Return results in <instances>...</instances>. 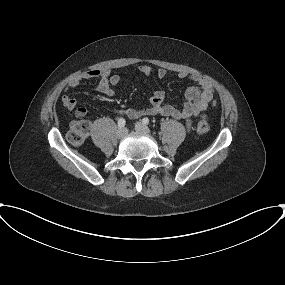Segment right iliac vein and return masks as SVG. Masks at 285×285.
I'll use <instances>...</instances> for the list:
<instances>
[{
	"instance_id": "obj_1",
	"label": "right iliac vein",
	"mask_w": 285,
	"mask_h": 285,
	"mask_svg": "<svg viewBox=\"0 0 285 285\" xmlns=\"http://www.w3.org/2000/svg\"><path fill=\"white\" fill-rule=\"evenodd\" d=\"M128 131L126 128H119L117 130V137L118 138H124L127 135Z\"/></svg>"
}]
</instances>
